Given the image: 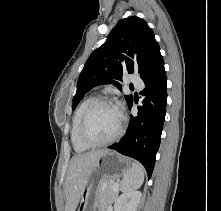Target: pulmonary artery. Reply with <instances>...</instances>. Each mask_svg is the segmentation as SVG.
<instances>
[{
	"mask_svg": "<svg viewBox=\"0 0 221 211\" xmlns=\"http://www.w3.org/2000/svg\"><path fill=\"white\" fill-rule=\"evenodd\" d=\"M130 81H131V83H132L133 85H135V86L138 87V88H141L142 85H143L142 80H141L139 77H137V76H132L131 79H130Z\"/></svg>",
	"mask_w": 221,
	"mask_h": 211,
	"instance_id": "e3ab8cb5",
	"label": "pulmonary artery"
}]
</instances>
